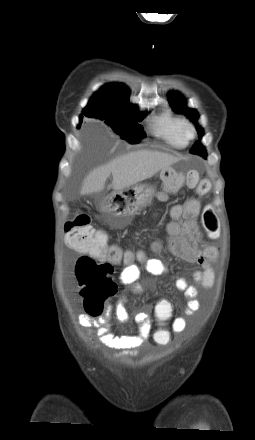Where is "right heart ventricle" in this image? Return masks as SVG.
I'll return each instance as SVG.
<instances>
[{"label":"right heart ventricle","instance_id":"obj_1","mask_svg":"<svg viewBox=\"0 0 255 440\" xmlns=\"http://www.w3.org/2000/svg\"><path fill=\"white\" fill-rule=\"evenodd\" d=\"M184 119L170 110L161 113L153 122L154 135L173 148H183L187 141L181 134Z\"/></svg>","mask_w":255,"mask_h":440}]
</instances>
